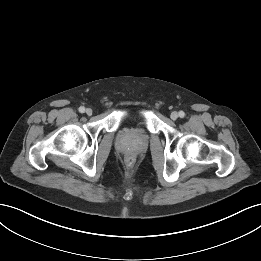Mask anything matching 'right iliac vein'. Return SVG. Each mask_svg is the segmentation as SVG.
<instances>
[{
	"label": "right iliac vein",
	"mask_w": 261,
	"mask_h": 261,
	"mask_svg": "<svg viewBox=\"0 0 261 261\" xmlns=\"http://www.w3.org/2000/svg\"><path fill=\"white\" fill-rule=\"evenodd\" d=\"M92 112H93L92 109H90V108L86 109V114L87 115H89V116L92 115Z\"/></svg>",
	"instance_id": "1"
}]
</instances>
